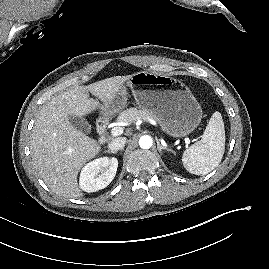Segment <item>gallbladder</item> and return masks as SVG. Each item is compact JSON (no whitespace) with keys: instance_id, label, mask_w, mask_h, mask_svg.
Masks as SVG:
<instances>
[{"instance_id":"bac80fb5","label":"gallbladder","mask_w":269,"mask_h":269,"mask_svg":"<svg viewBox=\"0 0 269 269\" xmlns=\"http://www.w3.org/2000/svg\"><path fill=\"white\" fill-rule=\"evenodd\" d=\"M68 120L74 128L81 131L82 133L89 134L91 132V125L85 118L69 115Z\"/></svg>"}]
</instances>
